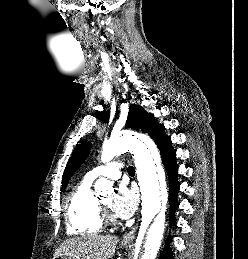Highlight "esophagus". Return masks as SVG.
I'll return each mask as SVG.
<instances>
[{
  "label": "esophagus",
  "instance_id": "esophagus-1",
  "mask_svg": "<svg viewBox=\"0 0 248 259\" xmlns=\"http://www.w3.org/2000/svg\"><path fill=\"white\" fill-rule=\"evenodd\" d=\"M137 228H138V223L134 227H132L130 231H128L126 234L123 235L121 243L122 244L132 243L135 238Z\"/></svg>",
  "mask_w": 248,
  "mask_h": 259
}]
</instances>
